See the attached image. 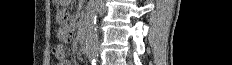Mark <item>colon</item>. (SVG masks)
Here are the masks:
<instances>
[{
    "label": "colon",
    "mask_w": 232,
    "mask_h": 65,
    "mask_svg": "<svg viewBox=\"0 0 232 65\" xmlns=\"http://www.w3.org/2000/svg\"><path fill=\"white\" fill-rule=\"evenodd\" d=\"M53 52L59 64L66 61L69 54L67 48L63 44H57L54 47Z\"/></svg>",
    "instance_id": "1"
}]
</instances>
